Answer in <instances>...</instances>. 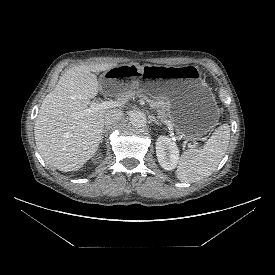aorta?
I'll use <instances>...</instances> for the list:
<instances>
[{
	"label": "aorta",
	"mask_w": 275,
	"mask_h": 275,
	"mask_svg": "<svg viewBox=\"0 0 275 275\" xmlns=\"http://www.w3.org/2000/svg\"><path fill=\"white\" fill-rule=\"evenodd\" d=\"M130 123L135 127H144L147 123L146 115L141 111H133L129 117Z\"/></svg>",
	"instance_id": "obj_1"
}]
</instances>
